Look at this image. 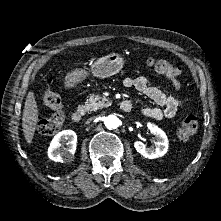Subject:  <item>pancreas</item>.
<instances>
[{"label":"pancreas","instance_id":"cf45deb5","mask_svg":"<svg viewBox=\"0 0 221 221\" xmlns=\"http://www.w3.org/2000/svg\"><path fill=\"white\" fill-rule=\"evenodd\" d=\"M110 101L106 97H101L98 94H91L86 100L84 108L86 111H96L103 107L109 106Z\"/></svg>","mask_w":221,"mask_h":221}]
</instances>
